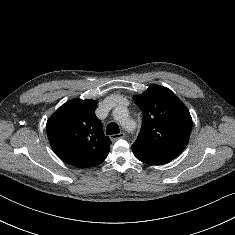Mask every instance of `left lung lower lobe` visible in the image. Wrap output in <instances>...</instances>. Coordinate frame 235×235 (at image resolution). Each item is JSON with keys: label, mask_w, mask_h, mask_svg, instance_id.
<instances>
[{"label": "left lung lower lobe", "mask_w": 235, "mask_h": 235, "mask_svg": "<svg viewBox=\"0 0 235 235\" xmlns=\"http://www.w3.org/2000/svg\"><path fill=\"white\" fill-rule=\"evenodd\" d=\"M136 158L144 163L151 164V165H162L165 164L173 159L168 157H163L159 155H151L142 152L133 151Z\"/></svg>", "instance_id": "obj_1"}]
</instances>
